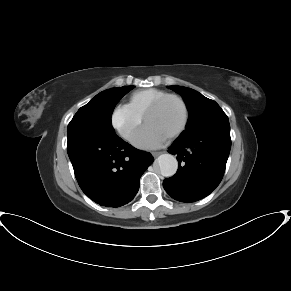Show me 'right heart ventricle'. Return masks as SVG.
Listing matches in <instances>:
<instances>
[{"mask_svg": "<svg viewBox=\"0 0 291 291\" xmlns=\"http://www.w3.org/2000/svg\"><path fill=\"white\" fill-rule=\"evenodd\" d=\"M167 94L168 93L166 91L156 88L137 90L129 96V105L134 111L143 117L147 108L155 100Z\"/></svg>", "mask_w": 291, "mask_h": 291, "instance_id": "e07e8e85", "label": "right heart ventricle"}]
</instances>
